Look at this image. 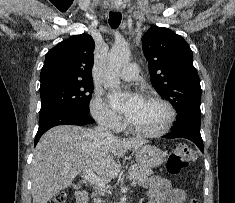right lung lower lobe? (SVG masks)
I'll use <instances>...</instances> for the list:
<instances>
[{
	"label": "right lung lower lobe",
	"instance_id": "right-lung-lower-lobe-1",
	"mask_svg": "<svg viewBox=\"0 0 235 203\" xmlns=\"http://www.w3.org/2000/svg\"><path fill=\"white\" fill-rule=\"evenodd\" d=\"M94 120L87 114L75 110H59L39 117V128L35 136L34 146L40 137L50 128L57 125H78L83 126L93 123Z\"/></svg>",
	"mask_w": 235,
	"mask_h": 203
}]
</instances>
